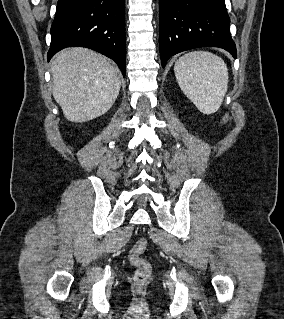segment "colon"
I'll return each mask as SVG.
<instances>
[{
  "mask_svg": "<svg viewBox=\"0 0 284 319\" xmlns=\"http://www.w3.org/2000/svg\"><path fill=\"white\" fill-rule=\"evenodd\" d=\"M229 117L226 116L224 122H227ZM148 242L145 238L139 239L130 251V262L136 268L134 281L138 288L142 287L148 280L151 273V266L142 255L147 249Z\"/></svg>",
  "mask_w": 284,
  "mask_h": 319,
  "instance_id": "colon-1",
  "label": "colon"
}]
</instances>
